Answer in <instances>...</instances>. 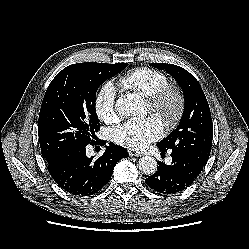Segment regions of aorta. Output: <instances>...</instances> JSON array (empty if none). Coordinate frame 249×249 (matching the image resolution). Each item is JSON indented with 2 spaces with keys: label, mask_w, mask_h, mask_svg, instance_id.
Returning a JSON list of instances; mask_svg holds the SVG:
<instances>
[{
  "label": "aorta",
  "mask_w": 249,
  "mask_h": 249,
  "mask_svg": "<svg viewBox=\"0 0 249 249\" xmlns=\"http://www.w3.org/2000/svg\"><path fill=\"white\" fill-rule=\"evenodd\" d=\"M115 107L123 116H138L142 114L143 102L138 95L127 94L119 97ZM138 168L145 175H152L157 171V161L151 156H144L139 159Z\"/></svg>",
  "instance_id": "762f6f07"
}]
</instances>
